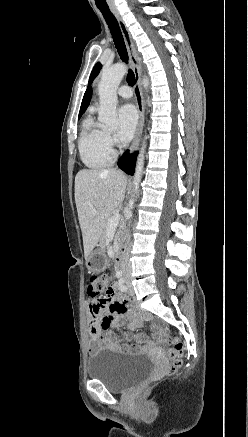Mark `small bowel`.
Masks as SVG:
<instances>
[{
    "instance_id": "obj_1",
    "label": "small bowel",
    "mask_w": 248,
    "mask_h": 437,
    "mask_svg": "<svg viewBox=\"0 0 248 437\" xmlns=\"http://www.w3.org/2000/svg\"><path fill=\"white\" fill-rule=\"evenodd\" d=\"M128 299L121 296L116 287H109L105 295L91 294L88 302V351L95 354L102 348L116 349L125 352L153 351L163 344L164 338L160 324L154 323L156 332L155 340L149 339L143 334L135 338V343L120 341L110 330H105L110 326H119L128 311ZM137 326V321L131 325Z\"/></svg>"
}]
</instances>
